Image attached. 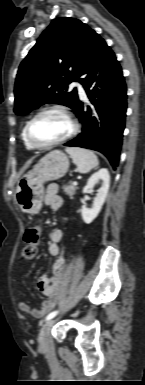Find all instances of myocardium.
I'll use <instances>...</instances> for the list:
<instances>
[{
    "label": "myocardium",
    "mask_w": 145,
    "mask_h": 385,
    "mask_svg": "<svg viewBox=\"0 0 145 385\" xmlns=\"http://www.w3.org/2000/svg\"><path fill=\"white\" fill-rule=\"evenodd\" d=\"M49 112H56L64 116L69 124H70V131L68 132L67 135H65L63 138L56 140L52 143L46 144V145H39L36 144L32 138H31V127L34 121L40 117L41 115ZM79 130V124L72 112L65 106L62 105H52L48 107H44L41 110H39L35 115L32 116V118L27 122L26 127H25V139L27 144L35 150H48L53 147H56L60 144L65 143L66 141L70 140L73 138Z\"/></svg>",
    "instance_id": "1"
}]
</instances>
